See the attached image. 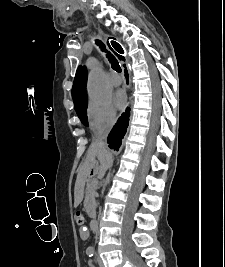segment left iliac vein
Wrapping results in <instances>:
<instances>
[{
	"label": "left iliac vein",
	"mask_w": 225,
	"mask_h": 267,
	"mask_svg": "<svg viewBox=\"0 0 225 267\" xmlns=\"http://www.w3.org/2000/svg\"><path fill=\"white\" fill-rule=\"evenodd\" d=\"M97 262H98L99 267H104V264L101 258H97Z\"/></svg>",
	"instance_id": "obj_1"
}]
</instances>
